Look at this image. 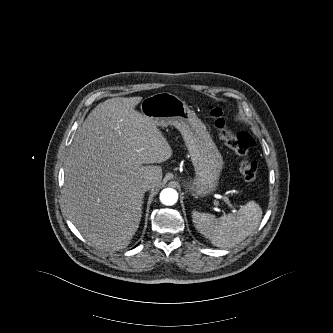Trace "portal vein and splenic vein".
<instances>
[{
    "label": "portal vein and splenic vein",
    "mask_w": 333,
    "mask_h": 333,
    "mask_svg": "<svg viewBox=\"0 0 333 333\" xmlns=\"http://www.w3.org/2000/svg\"><path fill=\"white\" fill-rule=\"evenodd\" d=\"M215 197H216V198H219V199H222V200H224L227 204H229V199H228L226 196H222V195L216 194ZM215 205H218V203L216 202Z\"/></svg>",
    "instance_id": "portal-vein-and-splenic-vein-1"
}]
</instances>
